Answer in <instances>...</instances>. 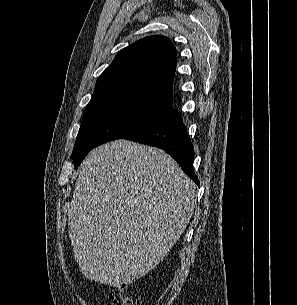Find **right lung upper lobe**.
<instances>
[{"mask_svg": "<svg viewBox=\"0 0 297 305\" xmlns=\"http://www.w3.org/2000/svg\"><path fill=\"white\" fill-rule=\"evenodd\" d=\"M175 56L176 49L165 36L136 41L121 50L100 75L86 107L120 97H145L172 104Z\"/></svg>", "mask_w": 297, "mask_h": 305, "instance_id": "1", "label": "right lung upper lobe"}]
</instances>
